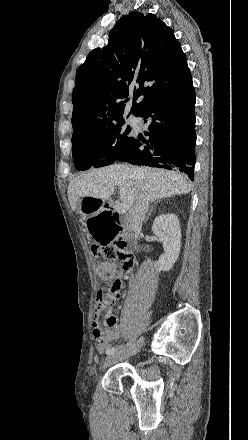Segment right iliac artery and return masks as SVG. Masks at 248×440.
Masks as SVG:
<instances>
[{"label":"right iliac artery","mask_w":248,"mask_h":440,"mask_svg":"<svg viewBox=\"0 0 248 440\" xmlns=\"http://www.w3.org/2000/svg\"><path fill=\"white\" fill-rule=\"evenodd\" d=\"M117 350H118V347L117 348L111 347V348L107 349L106 354H108V355L113 354Z\"/></svg>","instance_id":"1"}]
</instances>
